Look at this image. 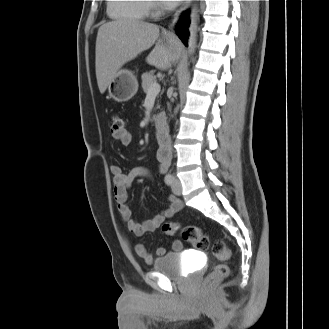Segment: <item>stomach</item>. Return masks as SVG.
I'll return each mask as SVG.
<instances>
[{
	"instance_id": "stomach-1",
	"label": "stomach",
	"mask_w": 329,
	"mask_h": 329,
	"mask_svg": "<svg viewBox=\"0 0 329 329\" xmlns=\"http://www.w3.org/2000/svg\"><path fill=\"white\" fill-rule=\"evenodd\" d=\"M109 96L117 102L130 100L138 90L135 75L126 69L119 70L116 77L108 85Z\"/></svg>"
}]
</instances>
